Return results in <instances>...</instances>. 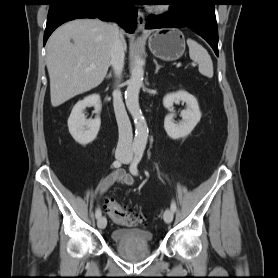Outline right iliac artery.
I'll return each mask as SVG.
<instances>
[{
	"mask_svg": "<svg viewBox=\"0 0 278 278\" xmlns=\"http://www.w3.org/2000/svg\"><path fill=\"white\" fill-rule=\"evenodd\" d=\"M121 165H122V161H120V160H116V161L113 162V166L115 168H119ZM95 216H96L97 219L101 217V210H100V208L96 209Z\"/></svg>",
	"mask_w": 278,
	"mask_h": 278,
	"instance_id": "1",
	"label": "right iliac artery"
}]
</instances>
